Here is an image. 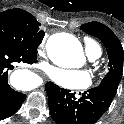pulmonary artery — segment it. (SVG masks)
Wrapping results in <instances>:
<instances>
[{"instance_id":"pulmonary-artery-1","label":"pulmonary artery","mask_w":124,"mask_h":124,"mask_svg":"<svg viewBox=\"0 0 124 124\" xmlns=\"http://www.w3.org/2000/svg\"><path fill=\"white\" fill-rule=\"evenodd\" d=\"M91 60H95L96 58H90Z\"/></svg>"}]
</instances>
